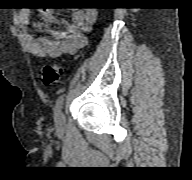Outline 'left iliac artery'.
<instances>
[{
	"mask_svg": "<svg viewBox=\"0 0 192 180\" xmlns=\"http://www.w3.org/2000/svg\"><path fill=\"white\" fill-rule=\"evenodd\" d=\"M63 102H64V96H60L55 104V113H60L62 107H63Z\"/></svg>",
	"mask_w": 192,
	"mask_h": 180,
	"instance_id": "44dca946",
	"label": "left iliac artery"
}]
</instances>
